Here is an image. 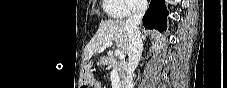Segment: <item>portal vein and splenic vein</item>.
<instances>
[{
	"mask_svg": "<svg viewBox=\"0 0 227 88\" xmlns=\"http://www.w3.org/2000/svg\"><path fill=\"white\" fill-rule=\"evenodd\" d=\"M112 45V42H107L103 48L110 47ZM115 56L118 57V59L122 60L124 59V53L121 50H115L114 52Z\"/></svg>",
	"mask_w": 227,
	"mask_h": 88,
	"instance_id": "portal-vein-and-splenic-vein-1",
	"label": "portal vein and splenic vein"
}]
</instances>
